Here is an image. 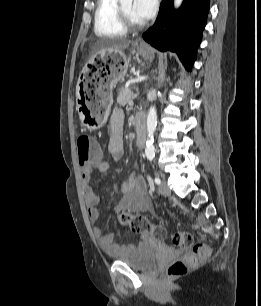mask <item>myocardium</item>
Segmentation results:
<instances>
[{"label": "myocardium", "mask_w": 261, "mask_h": 306, "mask_svg": "<svg viewBox=\"0 0 261 306\" xmlns=\"http://www.w3.org/2000/svg\"><path fill=\"white\" fill-rule=\"evenodd\" d=\"M120 19L127 30H138L144 26V22H134L124 11L121 4H118Z\"/></svg>", "instance_id": "myocardium-1"}]
</instances>
